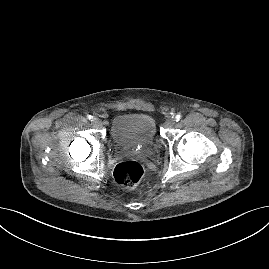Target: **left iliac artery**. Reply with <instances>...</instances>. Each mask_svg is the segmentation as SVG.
<instances>
[{"mask_svg":"<svg viewBox=\"0 0 269 269\" xmlns=\"http://www.w3.org/2000/svg\"><path fill=\"white\" fill-rule=\"evenodd\" d=\"M180 119H181V115H179V114L176 115L175 120H176V121H179Z\"/></svg>","mask_w":269,"mask_h":269,"instance_id":"44dca946","label":"left iliac artery"}]
</instances>
